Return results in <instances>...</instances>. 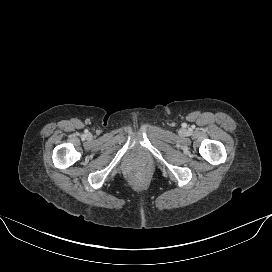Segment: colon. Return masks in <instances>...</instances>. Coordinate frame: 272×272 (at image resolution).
Returning a JSON list of instances; mask_svg holds the SVG:
<instances>
[{
	"label": "colon",
	"mask_w": 272,
	"mask_h": 272,
	"mask_svg": "<svg viewBox=\"0 0 272 272\" xmlns=\"http://www.w3.org/2000/svg\"><path fill=\"white\" fill-rule=\"evenodd\" d=\"M135 180H140L142 178V174L138 173L134 176Z\"/></svg>",
	"instance_id": "obj_1"
}]
</instances>
